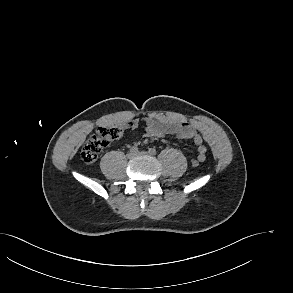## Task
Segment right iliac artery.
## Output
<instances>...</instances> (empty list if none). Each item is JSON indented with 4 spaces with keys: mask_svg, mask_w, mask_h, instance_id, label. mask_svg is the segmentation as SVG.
I'll list each match as a JSON object with an SVG mask.
<instances>
[{
    "mask_svg": "<svg viewBox=\"0 0 293 293\" xmlns=\"http://www.w3.org/2000/svg\"><path fill=\"white\" fill-rule=\"evenodd\" d=\"M130 151L137 153L138 152V148L136 146H132L130 148Z\"/></svg>",
    "mask_w": 293,
    "mask_h": 293,
    "instance_id": "obj_1",
    "label": "right iliac artery"
}]
</instances>
